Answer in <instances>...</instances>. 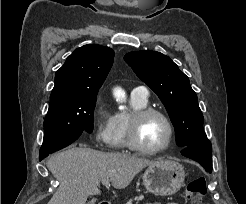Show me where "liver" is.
<instances>
[{"mask_svg":"<svg viewBox=\"0 0 246 204\" xmlns=\"http://www.w3.org/2000/svg\"><path fill=\"white\" fill-rule=\"evenodd\" d=\"M156 161L126 153H103L73 147L51 156L47 167L60 182L48 204H86L89 195H98L103 179L116 189L126 188L145 167Z\"/></svg>","mask_w":246,"mask_h":204,"instance_id":"6515ba94","label":"liver"}]
</instances>
